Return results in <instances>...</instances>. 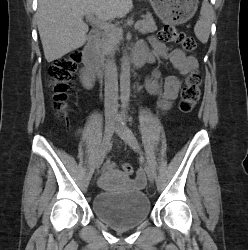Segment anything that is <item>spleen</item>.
<instances>
[{"instance_id": "spleen-1", "label": "spleen", "mask_w": 248, "mask_h": 250, "mask_svg": "<svg viewBox=\"0 0 248 250\" xmlns=\"http://www.w3.org/2000/svg\"><path fill=\"white\" fill-rule=\"evenodd\" d=\"M213 13L212 6L208 0H204L200 11V19L194 27L195 35L202 43H207L208 41Z\"/></svg>"}]
</instances>
